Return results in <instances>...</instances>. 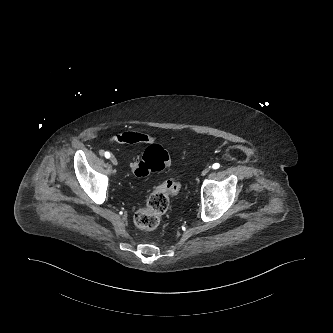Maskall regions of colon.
<instances>
[{"instance_id":"obj_1","label":"colon","mask_w":333,"mask_h":333,"mask_svg":"<svg viewBox=\"0 0 333 333\" xmlns=\"http://www.w3.org/2000/svg\"><path fill=\"white\" fill-rule=\"evenodd\" d=\"M170 160L168 153L157 144L150 145L143 156L131 162V169L138 177H145L151 172L168 168ZM180 183L175 180H166L158 186L149 196L146 205L134 215L135 225L143 230L155 229L169 207L170 196L180 192Z\"/></svg>"}]
</instances>
